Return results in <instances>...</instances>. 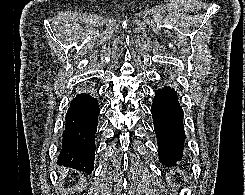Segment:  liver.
Here are the masks:
<instances>
[{"instance_id": "liver-1", "label": "liver", "mask_w": 245, "mask_h": 195, "mask_svg": "<svg viewBox=\"0 0 245 195\" xmlns=\"http://www.w3.org/2000/svg\"><path fill=\"white\" fill-rule=\"evenodd\" d=\"M60 174H61L62 178H65L66 175H67V170H66L65 168H62V169L60 170Z\"/></svg>"}]
</instances>
